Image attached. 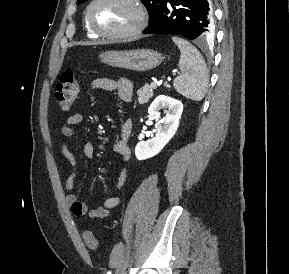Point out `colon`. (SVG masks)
<instances>
[{
	"mask_svg": "<svg viewBox=\"0 0 289 274\" xmlns=\"http://www.w3.org/2000/svg\"><path fill=\"white\" fill-rule=\"evenodd\" d=\"M78 91L79 84L75 71L70 68L64 70L60 75L55 92L59 106L64 110H68L73 105ZM83 239L89 249L94 250L98 247V241L93 232L85 231Z\"/></svg>",
	"mask_w": 289,
	"mask_h": 274,
	"instance_id": "colon-1",
	"label": "colon"
}]
</instances>
